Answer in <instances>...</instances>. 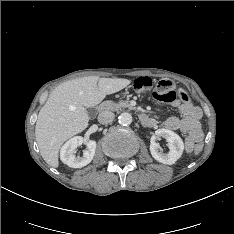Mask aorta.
<instances>
[{
    "label": "aorta",
    "mask_w": 234,
    "mask_h": 234,
    "mask_svg": "<svg viewBox=\"0 0 234 234\" xmlns=\"http://www.w3.org/2000/svg\"><path fill=\"white\" fill-rule=\"evenodd\" d=\"M119 124L128 126L132 123V115L128 112H123L118 117Z\"/></svg>",
    "instance_id": "1"
}]
</instances>
